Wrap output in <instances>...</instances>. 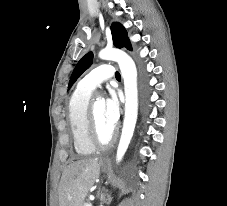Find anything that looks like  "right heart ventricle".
<instances>
[{"mask_svg": "<svg viewBox=\"0 0 227 206\" xmlns=\"http://www.w3.org/2000/svg\"><path fill=\"white\" fill-rule=\"evenodd\" d=\"M90 98L91 91L78 86L68 103L67 118L74 149L79 156H88L95 151V146L89 140L87 129Z\"/></svg>", "mask_w": 227, "mask_h": 206, "instance_id": "1", "label": "right heart ventricle"}]
</instances>
